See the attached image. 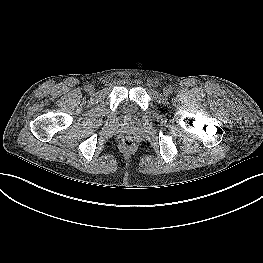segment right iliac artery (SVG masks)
<instances>
[{
    "instance_id": "obj_1",
    "label": "right iliac artery",
    "mask_w": 263,
    "mask_h": 263,
    "mask_svg": "<svg viewBox=\"0 0 263 263\" xmlns=\"http://www.w3.org/2000/svg\"><path fill=\"white\" fill-rule=\"evenodd\" d=\"M85 90L89 91V85L85 86Z\"/></svg>"
}]
</instances>
